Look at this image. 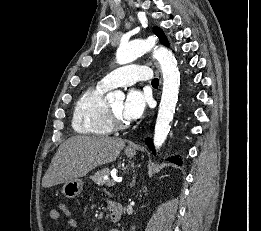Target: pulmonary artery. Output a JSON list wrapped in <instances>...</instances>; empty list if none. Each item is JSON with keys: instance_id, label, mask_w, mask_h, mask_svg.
Segmentation results:
<instances>
[{"instance_id": "1", "label": "pulmonary artery", "mask_w": 261, "mask_h": 231, "mask_svg": "<svg viewBox=\"0 0 261 231\" xmlns=\"http://www.w3.org/2000/svg\"><path fill=\"white\" fill-rule=\"evenodd\" d=\"M151 69L147 66L128 65L119 67L106 74L100 84L106 88L126 86L138 81H148L151 78Z\"/></svg>"}]
</instances>
